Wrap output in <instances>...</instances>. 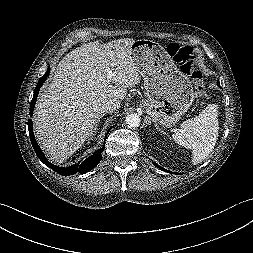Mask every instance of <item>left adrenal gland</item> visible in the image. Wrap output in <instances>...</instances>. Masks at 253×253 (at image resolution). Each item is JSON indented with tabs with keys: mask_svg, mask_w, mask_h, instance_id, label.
Masks as SVG:
<instances>
[{
	"mask_svg": "<svg viewBox=\"0 0 253 253\" xmlns=\"http://www.w3.org/2000/svg\"><path fill=\"white\" fill-rule=\"evenodd\" d=\"M156 129L159 130V131H161V132H163V133L165 134V132H164L163 129H161V128H159V127H157Z\"/></svg>",
	"mask_w": 253,
	"mask_h": 253,
	"instance_id": "left-adrenal-gland-1",
	"label": "left adrenal gland"
}]
</instances>
